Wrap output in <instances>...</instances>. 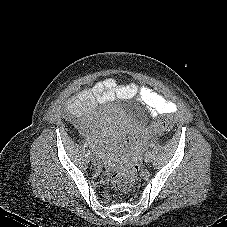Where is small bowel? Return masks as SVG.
<instances>
[{
	"label": "small bowel",
	"instance_id": "small-bowel-1",
	"mask_svg": "<svg viewBox=\"0 0 227 227\" xmlns=\"http://www.w3.org/2000/svg\"><path fill=\"white\" fill-rule=\"evenodd\" d=\"M137 98L143 102L153 116L163 114H174L177 112V104L172 100H167L159 96L148 87H138L135 84L120 85L114 78L108 77L97 81L90 88H84L71 98L65 105V110L72 116L84 115L97 102L109 100L111 98ZM79 127L85 128L86 122L81 118ZM91 148L97 152L114 151L117 143L108 137H89Z\"/></svg>",
	"mask_w": 227,
	"mask_h": 227
}]
</instances>
